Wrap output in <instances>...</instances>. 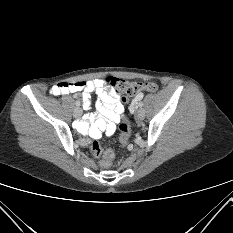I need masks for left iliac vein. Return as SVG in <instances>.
I'll return each instance as SVG.
<instances>
[{"label": "left iliac vein", "mask_w": 233, "mask_h": 233, "mask_svg": "<svg viewBox=\"0 0 233 233\" xmlns=\"http://www.w3.org/2000/svg\"><path fill=\"white\" fill-rule=\"evenodd\" d=\"M137 117L142 120L145 117V110L143 108H139L137 111Z\"/></svg>", "instance_id": "4c4485c4"}]
</instances>
